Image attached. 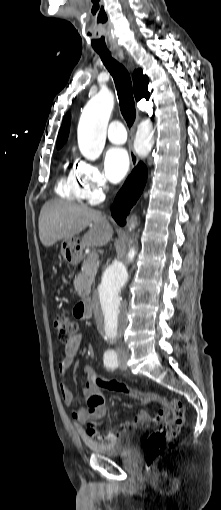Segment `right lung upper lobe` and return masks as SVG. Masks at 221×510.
I'll return each mask as SVG.
<instances>
[{
  "label": "right lung upper lobe",
  "instance_id": "cb5924a9",
  "mask_svg": "<svg viewBox=\"0 0 221 510\" xmlns=\"http://www.w3.org/2000/svg\"><path fill=\"white\" fill-rule=\"evenodd\" d=\"M148 82H149L148 77L146 75H143L141 69L134 71V73H133L134 96L137 101L142 98H146V99L149 98ZM70 118H71L70 114H67L64 117L62 126H61L59 134H58V138H57V148H61L68 138L69 128H70Z\"/></svg>",
  "mask_w": 221,
  "mask_h": 510
}]
</instances>
